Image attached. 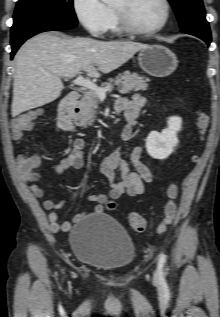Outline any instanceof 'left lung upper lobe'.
<instances>
[{
  "label": "left lung upper lobe",
  "mask_w": 220,
  "mask_h": 317,
  "mask_svg": "<svg viewBox=\"0 0 220 317\" xmlns=\"http://www.w3.org/2000/svg\"><path fill=\"white\" fill-rule=\"evenodd\" d=\"M169 2L176 13L181 29L188 27L209 29L202 0H169Z\"/></svg>",
  "instance_id": "5c2ea615"
}]
</instances>
